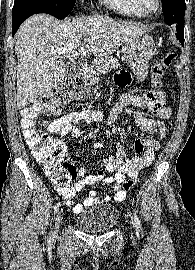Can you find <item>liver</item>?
Wrapping results in <instances>:
<instances>
[{"label": "liver", "mask_w": 195, "mask_h": 270, "mask_svg": "<svg viewBox=\"0 0 195 270\" xmlns=\"http://www.w3.org/2000/svg\"><path fill=\"white\" fill-rule=\"evenodd\" d=\"M145 30L135 24L119 23L103 15L60 22L47 14L27 19L15 35L17 54V107L24 108L63 82L67 65L65 50H75L83 41L96 57L115 52L130 37ZM70 53V52H68Z\"/></svg>", "instance_id": "1"}]
</instances>
